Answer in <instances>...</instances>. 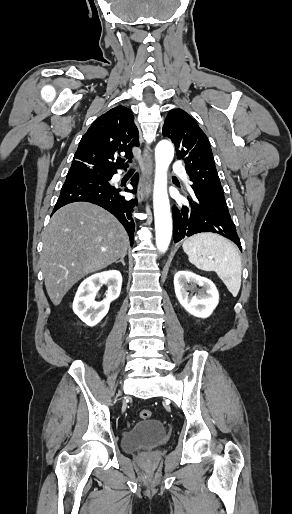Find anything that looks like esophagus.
Listing matches in <instances>:
<instances>
[{
	"mask_svg": "<svg viewBox=\"0 0 292 514\" xmlns=\"http://www.w3.org/2000/svg\"><path fill=\"white\" fill-rule=\"evenodd\" d=\"M144 165H145V177L140 180L138 185V199L142 201L145 197H148L152 191V173H153V160L149 151L143 153Z\"/></svg>",
	"mask_w": 292,
	"mask_h": 514,
	"instance_id": "1",
	"label": "esophagus"
}]
</instances>
